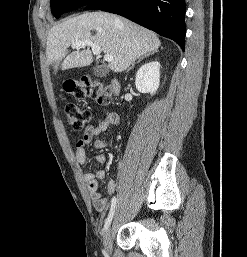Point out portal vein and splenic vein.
I'll return each mask as SVG.
<instances>
[{
	"label": "portal vein and splenic vein",
	"mask_w": 247,
	"mask_h": 257,
	"mask_svg": "<svg viewBox=\"0 0 247 257\" xmlns=\"http://www.w3.org/2000/svg\"><path fill=\"white\" fill-rule=\"evenodd\" d=\"M86 46L92 48L93 54L100 55V53H101L100 47L97 46L96 44H94L92 41H89V40L76 41L71 44V47L76 48V49L84 48ZM104 60L110 62L113 60V57L111 55H105Z\"/></svg>",
	"instance_id": "18ae733b"
}]
</instances>
